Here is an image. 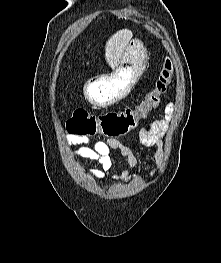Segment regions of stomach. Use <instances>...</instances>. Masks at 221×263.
<instances>
[{"label":"stomach","mask_w":221,"mask_h":263,"mask_svg":"<svg viewBox=\"0 0 221 263\" xmlns=\"http://www.w3.org/2000/svg\"><path fill=\"white\" fill-rule=\"evenodd\" d=\"M148 54L138 40L130 41L116 69L108 75L88 80L85 98L95 107H108L125 98L146 69Z\"/></svg>","instance_id":"0dacf381"}]
</instances>
